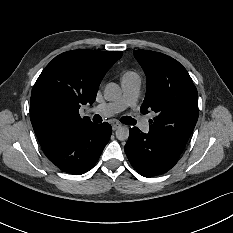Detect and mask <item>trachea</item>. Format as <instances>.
Here are the masks:
<instances>
[{"label": "trachea", "instance_id": "1", "mask_svg": "<svg viewBox=\"0 0 233 233\" xmlns=\"http://www.w3.org/2000/svg\"><path fill=\"white\" fill-rule=\"evenodd\" d=\"M93 121L96 122V123H101L102 122V119L99 115H95L93 117ZM120 121L123 123V124H127V125H135L136 124V120L133 119L132 117H129V116H124L120 119Z\"/></svg>", "mask_w": 233, "mask_h": 233}]
</instances>
